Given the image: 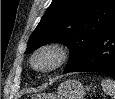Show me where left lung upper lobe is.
<instances>
[{
  "label": "left lung upper lobe",
  "instance_id": "obj_1",
  "mask_svg": "<svg viewBox=\"0 0 115 99\" xmlns=\"http://www.w3.org/2000/svg\"><path fill=\"white\" fill-rule=\"evenodd\" d=\"M114 23L115 0H52L25 53L51 42L66 44L70 49L66 73Z\"/></svg>",
  "mask_w": 115,
  "mask_h": 99
}]
</instances>
